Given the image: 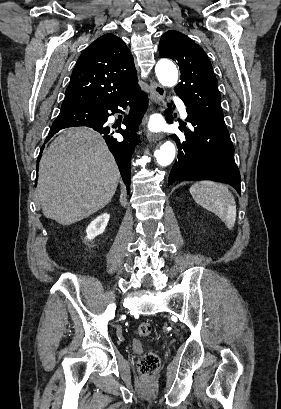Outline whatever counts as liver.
<instances>
[{
    "mask_svg": "<svg viewBox=\"0 0 281 409\" xmlns=\"http://www.w3.org/2000/svg\"><path fill=\"white\" fill-rule=\"evenodd\" d=\"M120 172L102 136L73 126L51 142L40 160L37 194L46 219L73 225L110 202Z\"/></svg>",
    "mask_w": 281,
    "mask_h": 409,
    "instance_id": "1",
    "label": "liver"
}]
</instances>
